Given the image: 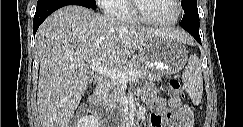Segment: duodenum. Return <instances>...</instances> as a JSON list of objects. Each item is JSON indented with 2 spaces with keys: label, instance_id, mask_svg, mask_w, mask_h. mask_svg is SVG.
<instances>
[{
  "label": "duodenum",
  "instance_id": "duodenum-1",
  "mask_svg": "<svg viewBox=\"0 0 243 127\" xmlns=\"http://www.w3.org/2000/svg\"><path fill=\"white\" fill-rule=\"evenodd\" d=\"M105 87V79L103 77H98L96 79L95 90L88 97V104L90 107V113H92L97 118L100 117V93Z\"/></svg>",
  "mask_w": 243,
  "mask_h": 127
}]
</instances>
